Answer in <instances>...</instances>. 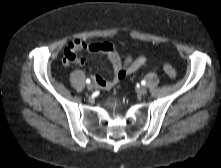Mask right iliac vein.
I'll use <instances>...</instances> for the list:
<instances>
[{
  "label": "right iliac vein",
  "instance_id": "right-iliac-vein-1",
  "mask_svg": "<svg viewBox=\"0 0 221 168\" xmlns=\"http://www.w3.org/2000/svg\"><path fill=\"white\" fill-rule=\"evenodd\" d=\"M87 89H88L89 91H92V90L94 89V84H93V83L88 84V85H87Z\"/></svg>",
  "mask_w": 221,
  "mask_h": 168
}]
</instances>
